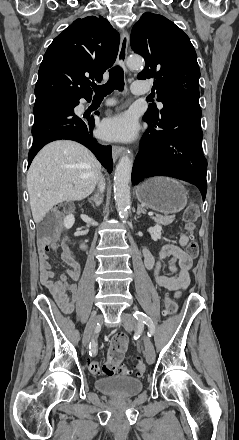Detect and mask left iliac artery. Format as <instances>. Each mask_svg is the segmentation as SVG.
I'll return each instance as SVG.
<instances>
[{"label":"left iliac artery","mask_w":239,"mask_h":440,"mask_svg":"<svg viewBox=\"0 0 239 440\" xmlns=\"http://www.w3.org/2000/svg\"><path fill=\"white\" fill-rule=\"evenodd\" d=\"M133 316L139 323H144L148 326V336L151 337L155 333V325L153 321L144 313L135 311Z\"/></svg>","instance_id":"obj_1"}]
</instances>
